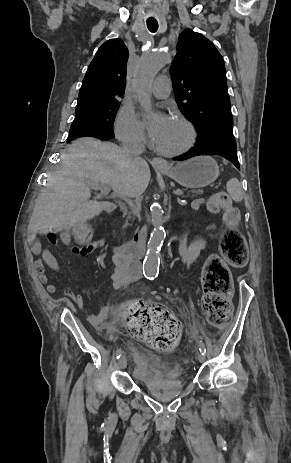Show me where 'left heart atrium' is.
Instances as JSON below:
<instances>
[{"mask_svg":"<svg viewBox=\"0 0 291 463\" xmlns=\"http://www.w3.org/2000/svg\"><path fill=\"white\" fill-rule=\"evenodd\" d=\"M174 119L168 114H158L152 117L148 124L149 136L154 145H158L171 128Z\"/></svg>","mask_w":291,"mask_h":463,"instance_id":"1","label":"left heart atrium"}]
</instances>
